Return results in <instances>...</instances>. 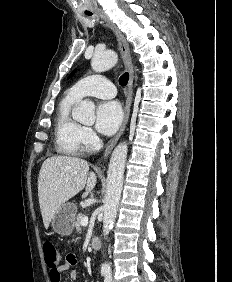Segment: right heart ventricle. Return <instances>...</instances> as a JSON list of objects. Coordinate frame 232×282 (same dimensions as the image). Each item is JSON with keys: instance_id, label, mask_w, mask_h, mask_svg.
<instances>
[{"instance_id": "e07e8e85", "label": "right heart ventricle", "mask_w": 232, "mask_h": 282, "mask_svg": "<svg viewBox=\"0 0 232 282\" xmlns=\"http://www.w3.org/2000/svg\"><path fill=\"white\" fill-rule=\"evenodd\" d=\"M78 101L67 93L58 104L54 126V143L56 151L62 155H77L82 149V126L71 115L72 109Z\"/></svg>"}]
</instances>
